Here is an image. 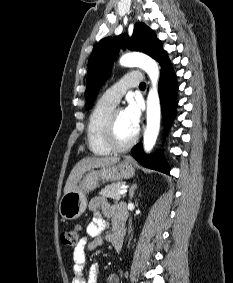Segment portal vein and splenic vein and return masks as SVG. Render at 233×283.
Here are the masks:
<instances>
[{"mask_svg":"<svg viewBox=\"0 0 233 283\" xmlns=\"http://www.w3.org/2000/svg\"><path fill=\"white\" fill-rule=\"evenodd\" d=\"M127 193V189L126 188H121L119 191H118V194L120 195H123V194H126Z\"/></svg>","mask_w":233,"mask_h":283,"instance_id":"18ae733b","label":"portal vein and splenic vein"}]
</instances>
